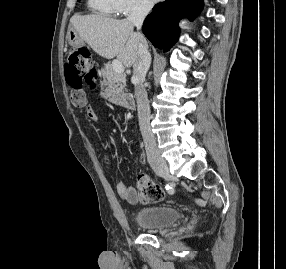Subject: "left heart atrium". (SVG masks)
Listing matches in <instances>:
<instances>
[{"label": "left heart atrium", "instance_id": "left-heart-atrium-1", "mask_svg": "<svg viewBox=\"0 0 286 269\" xmlns=\"http://www.w3.org/2000/svg\"><path fill=\"white\" fill-rule=\"evenodd\" d=\"M150 1L153 3V2H157V1H159V0H150Z\"/></svg>", "mask_w": 286, "mask_h": 269}]
</instances>
